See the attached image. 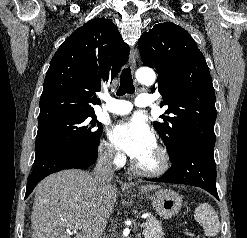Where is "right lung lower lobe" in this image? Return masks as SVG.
I'll return each instance as SVG.
<instances>
[{
	"label": "right lung lower lobe",
	"mask_w": 247,
	"mask_h": 238,
	"mask_svg": "<svg viewBox=\"0 0 247 238\" xmlns=\"http://www.w3.org/2000/svg\"><path fill=\"white\" fill-rule=\"evenodd\" d=\"M97 155L98 149L96 151L59 150L35 160L27 183L25 198L49 174L71 168L86 169L96 161Z\"/></svg>",
	"instance_id": "98d812e1"
}]
</instances>
